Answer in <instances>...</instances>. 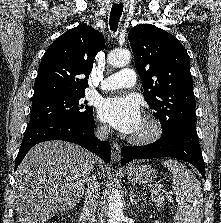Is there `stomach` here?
<instances>
[{"mask_svg": "<svg viewBox=\"0 0 221 223\" xmlns=\"http://www.w3.org/2000/svg\"><path fill=\"white\" fill-rule=\"evenodd\" d=\"M128 179L134 184H142L153 181L156 178V170L150 165H133L128 169Z\"/></svg>", "mask_w": 221, "mask_h": 223, "instance_id": "stomach-1", "label": "stomach"}]
</instances>
